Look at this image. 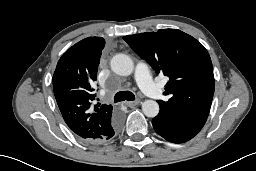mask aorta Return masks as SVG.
Returning a JSON list of instances; mask_svg holds the SVG:
<instances>
[{"mask_svg":"<svg viewBox=\"0 0 256 171\" xmlns=\"http://www.w3.org/2000/svg\"><path fill=\"white\" fill-rule=\"evenodd\" d=\"M110 65L113 72L121 76L131 75L134 70L132 59L125 54H116L111 59ZM142 111L147 117H156L159 113V105L154 100H146L142 104Z\"/></svg>","mask_w":256,"mask_h":171,"instance_id":"obj_1","label":"aorta"}]
</instances>
